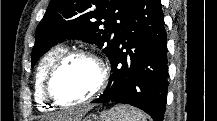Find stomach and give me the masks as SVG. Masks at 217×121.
<instances>
[{
	"instance_id": "1",
	"label": "stomach",
	"mask_w": 217,
	"mask_h": 121,
	"mask_svg": "<svg viewBox=\"0 0 217 121\" xmlns=\"http://www.w3.org/2000/svg\"><path fill=\"white\" fill-rule=\"evenodd\" d=\"M102 118V117H101ZM101 118L97 115H89L83 119V121H101Z\"/></svg>"
}]
</instances>
